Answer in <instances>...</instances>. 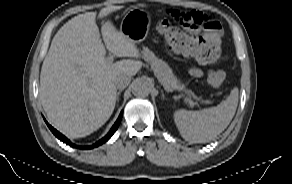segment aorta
Listing matches in <instances>:
<instances>
[{
    "instance_id": "aorta-1",
    "label": "aorta",
    "mask_w": 292,
    "mask_h": 184,
    "mask_svg": "<svg viewBox=\"0 0 292 184\" xmlns=\"http://www.w3.org/2000/svg\"><path fill=\"white\" fill-rule=\"evenodd\" d=\"M151 92L150 84L143 79H137L132 85V93L137 97H147Z\"/></svg>"
}]
</instances>
